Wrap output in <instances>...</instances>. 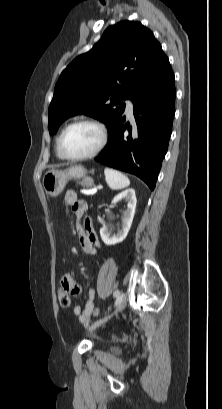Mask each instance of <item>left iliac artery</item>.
Listing matches in <instances>:
<instances>
[{
	"label": "left iliac artery",
	"instance_id": "1",
	"mask_svg": "<svg viewBox=\"0 0 222 409\" xmlns=\"http://www.w3.org/2000/svg\"><path fill=\"white\" fill-rule=\"evenodd\" d=\"M119 294H120V292H119L118 290H116V291L113 293V296H114V297H118Z\"/></svg>",
	"mask_w": 222,
	"mask_h": 409
}]
</instances>
